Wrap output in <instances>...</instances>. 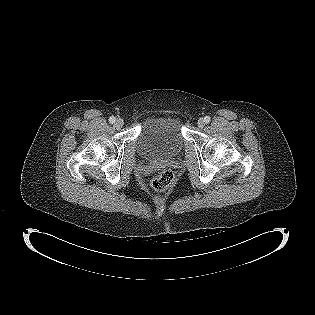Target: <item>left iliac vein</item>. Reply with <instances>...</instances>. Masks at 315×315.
Instances as JSON below:
<instances>
[{
    "mask_svg": "<svg viewBox=\"0 0 315 315\" xmlns=\"http://www.w3.org/2000/svg\"><path fill=\"white\" fill-rule=\"evenodd\" d=\"M198 127L199 128H203L204 126H205V121H204V119L203 118H200L199 120H198Z\"/></svg>",
    "mask_w": 315,
    "mask_h": 315,
    "instance_id": "4c4485c4",
    "label": "left iliac vein"
}]
</instances>
